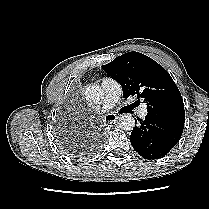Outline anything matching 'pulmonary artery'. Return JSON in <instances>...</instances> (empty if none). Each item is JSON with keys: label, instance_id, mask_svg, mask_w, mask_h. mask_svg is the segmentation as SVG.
I'll return each instance as SVG.
<instances>
[{"label": "pulmonary artery", "instance_id": "e3ab8cb5", "mask_svg": "<svg viewBox=\"0 0 209 209\" xmlns=\"http://www.w3.org/2000/svg\"><path fill=\"white\" fill-rule=\"evenodd\" d=\"M101 85L105 92V99L103 101L101 111L106 112L112 109L120 98L121 86L116 80L109 77L103 78ZM138 114L141 118H144L147 115V109L145 105L140 107Z\"/></svg>", "mask_w": 209, "mask_h": 209}]
</instances>
